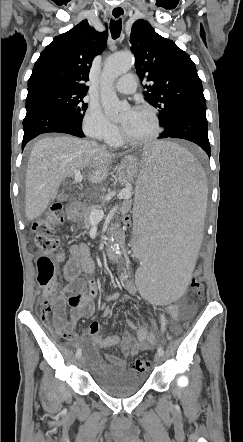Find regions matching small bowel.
<instances>
[{"label":"small bowel","mask_w":243,"mask_h":442,"mask_svg":"<svg viewBox=\"0 0 243 442\" xmlns=\"http://www.w3.org/2000/svg\"><path fill=\"white\" fill-rule=\"evenodd\" d=\"M95 272V261L91 256L89 247L84 244H74L70 248V258L64 267V277L67 285L56 297L55 311L65 312V308L70 307V319L68 322L69 338L77 340L74 330L81 318H91L95 313V299L97 297V287L92 275ZM123 279H126L123 276ZM133 292L134 290L131 289ZM169 314L173 320L179 318V310L176 306L168 307ZM108 310H105L107 313ZM126 324L130 329H136L137 335L133 336L126 332L123 335H111L103 337L100 334V323L93 320L88 328V334H84L80 339L84 343L90 340L88 357L95 364L102 361L98 349L108 347H119L121 355L108 356L107 360L114 363L119 368H125L127 358L140 351L152 349L157 341L156 334L146 326H139L132 320H127ZM153 324V323H152Z\"/></svg>","instance_id":"obj_1"}]
</instances>
